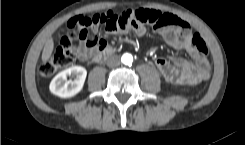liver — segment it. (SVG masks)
I'll return each instance as SVG.
<instances>
[{
    "instance_id": "1",
    "label": "liver",
    "mask_w": 245,
    "mask_h": 145,
    "mask_svg": "<svg viewBox=\"0 0 245 145\" xmlns=\"http://www.w3.org/2000/svg\"><path fill=\"white\" fill-rule=\"evenodd\" d=\"M53 49H54V41L52 38H49L46 43H45V46L43 48V51H42V62L43 64H45L49 58L51 57V54L53 52Z\"/></svg>"
}]
</instances>
